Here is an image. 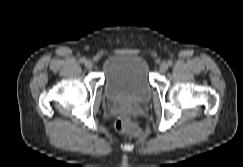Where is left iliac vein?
Masks as SVG:
<instances>
[{
  "label": "left iliac vein",
  "instance_id": "1",
  "mask_svg": "<svg viewBox=\"0 0 243 167\" xmlns=\"http://www.w3.org/2000/svg\"><path fill=\"white\" fill-rule=\"evenodd\" d=\"M168 64L166 62L161 63L160 65V71L161 72H166L168 70Z\"/></svg>",
  "mask_w": 243,
  "mask_h": 167
}]
</instances>
